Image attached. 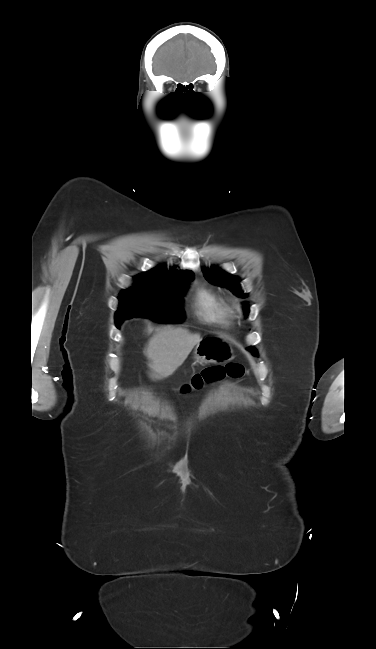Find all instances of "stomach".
Returning a JSON list of instances; mask_svg holds the SVG:
<instances>
[{
    "mask_svg": "<svg viewBox=\"0 0 376 649\" xmlns=\"http://www.w3.org/2000/svg\"><path fill=\"white\" fill-rule=\"evenodd\" d=\"M194 358L199 363L225 364L233 360L234 354L231 345L223 338L208 336L197 343Z\"/></svg>",
    "mask_w": 376,
    "mask_h": 649,
    "instance_id": "obj_1",
    "label": "stomach"
}]
</instances>
